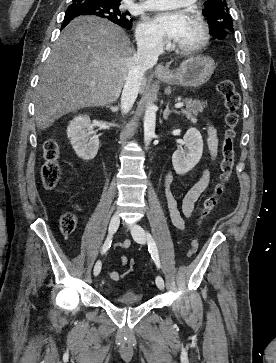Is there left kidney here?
Returning <instances> with one entry per match:
<instances>
[{
  "label": "left kidney",
  "instance_id": "left-kidney-1",
  "mask_svg": "<svg viewBox=\"0 0 276 363\" xmlns=\"http://www.w3.org/2000/svg\"><path fill=\"white\" fill-rule=\"evenodd\" d=\"M184 148L176 150L172 155L174 170L179 175L192 170L203 154V139L196 128H189L184 137Z\"/></svg>",
  "mask_w": 276,
  "mask_h": 363
}]
</instances>
